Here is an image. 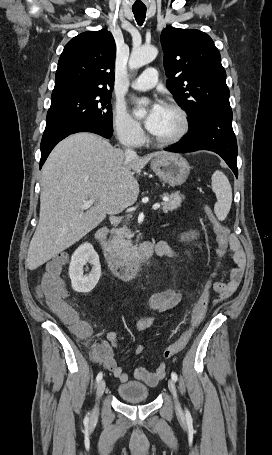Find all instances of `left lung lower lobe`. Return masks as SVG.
Wrapping results in <instances>:
<instances>
[{"instance_id":"left-lung-lower-lobe-1","label":"left lung lower lobe","mask_w":272,"mask_h":455,"mask_svg":"<svg viewBox=\"0 0 272 455\" xmlns=\"http://www.w3.org/2000/svg\"><path fill=\"white\" fill-rule=\"evenodd\" d=\"M166 151L176 153L209 150L219 154L238 177L237 141L232 128V111L214 112L189 124V132Z\"/></svg>"}]
</instances>
